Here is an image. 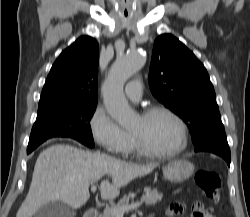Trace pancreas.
<instances>
[{"mask_svg":"<svg viewBox=\"0 0 250 217\" xmlns=\"http://www.w3.org/2000/svg\"><path fill=\"white\" fill-rule=\"evenodd\" d=\"M163 198V195L159 193L157 190H151V188H144V195L142 196V201L146 203V205L152 206L160 202ZM127 198L121 199L115 206L111 209H107L103 212L100 217H116L112 210L114 208H122L126 206Z\"/></svg>","mask_w":250,"mask_h":217,"instance_id":"cf45deb5","label":"pancreas"}]
</instances>
